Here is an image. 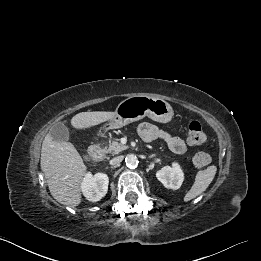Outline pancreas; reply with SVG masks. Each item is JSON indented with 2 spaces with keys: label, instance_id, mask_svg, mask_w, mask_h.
<instances>
[{
  "label": "pancreas",
  "instance_id": "pancreas-1",
  "mask_svg": "<svg viewBox=\"0 0 261 261\" xmlns=\"http://www.w3.org/2000/svg\"><path fill=\"white\" fill-rule=\"evenodd\" d=\"M126 149H127V146H125L117 141H113L112 143L109 144L108 148L104 149V151L106 153H111L112 155H116Z\"/></svg>",
  "mask_w": 261,
  "mask_h": 261
}]
</instances>
